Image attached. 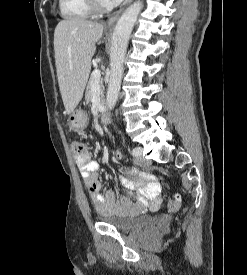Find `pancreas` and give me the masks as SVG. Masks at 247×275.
<instances>
[{
	"mask_svg": "<svg viewBox=\"0 0 247 275\" xmlns=\"http://www.w3.org/2000/svg\"><path fill=\"white\" fill-rule=\"evenodd\" d=\"M92 85H93V79L91 77L90 80H89V82H88V85H87V88H86V92H85V100L87 102L91 101ZM99 88H100V97H101V100L103 101V98H104V86H103L102 82L99 83Z\"/></svg>",
	"mask_w": 247,
	"mask_h": 275,
	"instance_id": "pancreas-1",
	"label": "pancreas"
}]
</instances>
